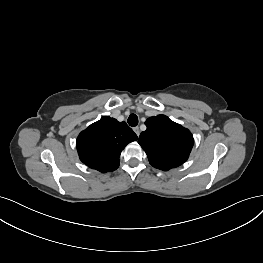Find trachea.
<instances>
[{
    "mask_svg": "<svg viewBox=\"0 0 263 263\" xmlns=\"http://www.w3.org/2000/svg\"><path fill=\"white\" fill-rule=\"evenodd\" d=\"M127 122L130 126L135 127L138 125V117L135 114H131Z\"/></svg>",
    "mask_w": 263,
    "mask_h": 263,
    "instance_id": "1",
    "label": "trachea"
}]
</instances>
